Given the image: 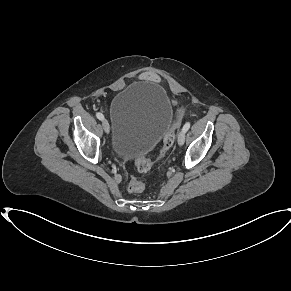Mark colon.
<instances>
[{
    "label": "colon",
    "instance_id": "1",
    "mask_svg": "<svg viewBox=\"0 0 291 291\" xmlns=\"http://www.w3.org/2000/svg\"><path fill=\"white\" fill-rule=\"evenodd\" d=\"M184 113L185 108L180 107L177 111L173 125L162 138L161 148L159 150V154L156 161H159L162 158H164L169 149L172 147L175 140L176 131L181 123ZM154 163L155 161H152L144 156H139L135 162L136 167L140 172L149 171L154 165ZM143 189H144L143 183L139 181L136 177L131 176L128 183V190L132 193H140L143 191Z\"/></svg>",
    "mask_w": 291,
    "mask_h": 291
}]
</instances>
